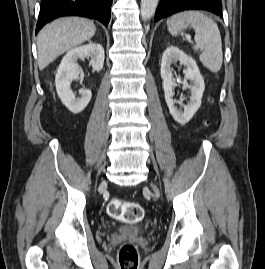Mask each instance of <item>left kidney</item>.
<instances>
[{"label": "left kidney", "mask_w": 265, "mask_h": 269, "mask_svg": "<svg viewBox=\"0 0 265 269\" xmlns=\"http://www.w3.org/2000/svg\"><path fill=\"white\" fill-rule=\"evenodd\" d=\"M176 61H179L180 64L186 67L185 79L182 85L184 88H189L191 92L190 101L187 105L183 106V110L175 107L173 99L175 82L172 80L171 65ZM161 77L163 79L165 100L170 114L176 122L182 125L186 124L201 106V99L205 90L204 80L196 62L178 47L171 45L166 48L162 55ZM187 80L191 81V85L188 84Z\"/></svg>", "instance_id": "left-kidney-1"}]
</instances>
